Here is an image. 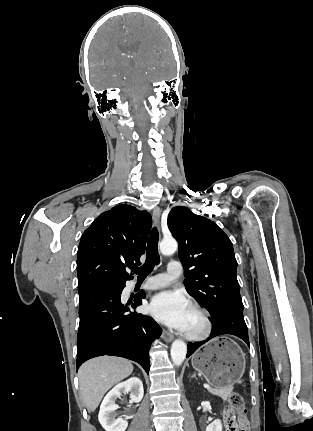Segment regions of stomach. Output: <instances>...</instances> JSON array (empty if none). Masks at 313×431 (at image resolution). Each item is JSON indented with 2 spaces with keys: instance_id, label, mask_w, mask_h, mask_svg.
<instances>
[{
  "instance_id": "0dacf381",
  "label": "stomach",
  "mask_w": 313,
  "mask_h": 431,
  "mask_svg": "<svg viewBox=\"0 0 313 431\" xmlns=\"http://www.w3.org/2000/svg\"><path fill=\"white\" fill-rule=\"evenodd\" d=\"M192 367L200 372L215 389L232 387L245 371V356L239 345L228 337L211 340L191 359Z\"/></svg>"
}]
</instances>
